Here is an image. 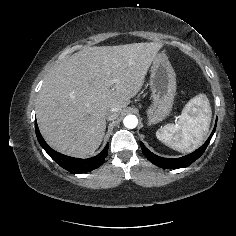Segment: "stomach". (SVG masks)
<instances>
[{"mask_svg":"<svg viewBox=\"0 0 236 236\" xmlns=\"http://www.w3.org/2000/svg\"><path fill=\"white\" fill-rule=\"evenodd\" d=\"M150 87L152 103L146 113L148 124L154 125L170 114L176 93V74L164 53H157L153 60Z\"/></svg>","mask_w":236,"mask_h":236,"instance_id":"0dacf381","label":"stomach"}]
</instances>
